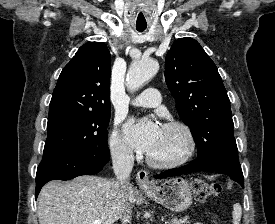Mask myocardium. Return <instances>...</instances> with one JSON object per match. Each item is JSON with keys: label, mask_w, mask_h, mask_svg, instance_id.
<instances>
[{"label": "myocardium", "mask_w": 275, "mask_h": 224, "mask_svg": "<svg viewBox=\"0 0 275 224\" xmlns=\"http://www.w3.org/2000/svg\"><path fill=\"white\" fill-rule=\"evenodd\" d=\"M163 127L168 129L179 130L183 134L186 141L185 151L178 158L168 161H158L153 159L150 155H147V163L150 166L159 169L175 168L185 164L192 157L196 148L195 137L191 128L186 123L179 120L167 121L166 123H164Z\"/></svg>", "instance_id": "myocardium-1"}]
</instances>
